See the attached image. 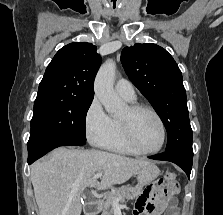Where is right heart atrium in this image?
I'll use <instances>...</instances> for the list:
<instances>
[{"mask_svg":"<svg viewBox=\"0 0 223 215\" xmlns=\"http://www.w3.org/2000/svg\"><path fill=\"white\" fill-rule=\"evenodd\" d=\"M114 120L104 110L101 102L93 98L90 102L84 120L89 139L101 144L113 128Z\"/></svg>","mask_w":223,"mask_h":215,"instance_id":"obj_1","label":"right heart atrium"}]
</instances>
